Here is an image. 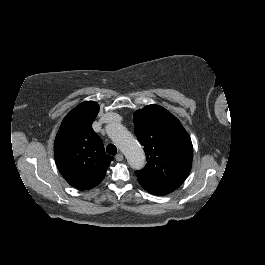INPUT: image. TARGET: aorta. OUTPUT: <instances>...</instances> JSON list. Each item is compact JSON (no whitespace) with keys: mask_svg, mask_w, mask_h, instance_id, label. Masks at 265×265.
I'll return each mask as SVG.
<instances>
[{"mask_svg":"<svg viewBox=\"0 0 265 265\" xmlns=\"http://www.w3.org/2000/svg\"><path fill=\"white\" fill-rule=\"evenodd\" d=\"M117 132H110V125L106 127L107 135L114 141L119 142L121 151L125 155L128 164L131 168L140 170L143 168L145 164V153L142 147L139 145L137 140L125 130V128L121 125L116 127ZM124 134L123 140L118 139V135Z\"/></svg>","mask_w":265,"mask_h":265,"instance_id":"aorta-1","label":"aorta"}]
</instances>
